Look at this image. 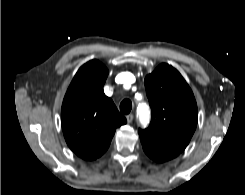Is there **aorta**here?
<instances>
[{"label": "aorta", "instance_id": "1", "mask_svg": "<svg viewBox=\"0 0 245 195\" xmlns=\"http://www.w3.org/2000/svg\"><path fill=\"white\" fill-rule=\"evenodd\" d=\"M137 112H138L140 123L143 126H146L150 120V110L148 105L145 103L139 104L137 108Z\"/></svg>", "mask_w": 245, "mask_h": 195}]
</instances>
